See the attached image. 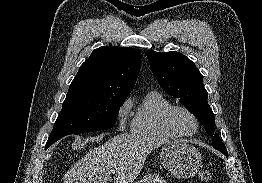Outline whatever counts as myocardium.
Returning <instances> with one entry per match:
<instances>
[{
    "label": "myocardium",
    "instance_id": "f54148a6",
    "mask_svg": "<svg viewBox=\"0 0 262 183\" xmlns=\"http://www.w3.org/2000/svg\"><path fill=\"white\" fill-rule=\"evenodd\" d=\"M178 111H184V112L188 113L193 118V120L195 121V129H194L193 132H191V133L182 132L176 126V124L174 122V115ZM165 125L172 133H174L175 135H177L179 137H192L198 132V130L200 128V121H199L198 117L196 116V114L191 109H189L185 106H181V105H174L165 114Z\"/></svg>",
    "mask_w": 262,
    "mask_h": 183
}]
</instances>
